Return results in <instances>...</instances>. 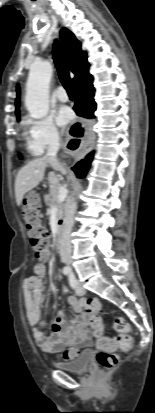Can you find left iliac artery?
<instances>
[{
    "label": "left iliac artery",
    "instance_id": "left-iliac-artery-1",
    "mask_svg": "<svg viewBox=\"0 0 155 413\" xmlns=\"http://www.w3.org/2000/svg\"><path fill=\"white\" fill-rule=\"evenodd\" d=\"M68 278H69V284H70V286H71L72 288H75V286H76V279H75V276H74V274H73L72 272L69 273Z\"/></svg>",
    "mask_w": 155,
    "mask_h": 413
}]
</instances>
